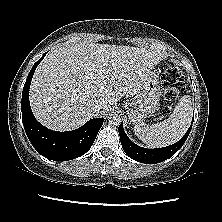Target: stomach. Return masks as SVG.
I'll list each match as a JSON object with an SVG mask.
<instances>
[{
	"label": "stomach",
	"mask_w": 222,
	"mask_h": 222,
	"mask_svg": "<svg viewBox=\"0 0 222 222\" xmlns=\"http://www.w3.org/2000/svg\"><path fill=\"white\" fill-rule=\"evenodd\" d=\"M160 95L158 74L148 72L137 93V100L133 102V108L128 111L131 121L141 125L147 117L154 116L158 110Z\"/></svg>",
	"instance_id": "0dacf381"
}]
</instances>
